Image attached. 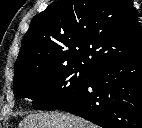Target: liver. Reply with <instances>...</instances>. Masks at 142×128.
Wrapping results in <instances>:
<instances>
[{"instance_id":"6515ba94","label":"liver","mask_w":142,"mask_h":128,"mask_svg":"<svg viewBox=\"0 0 142 128\" xmlns=\"http://www.w3.org/2000/svg\"><path fill=\"white\" fill-rule=\"evenodd\" d=\"M19 128H97L85 119L62 112L34 113L25 117Z\"/></svg>"}]
</instances>
